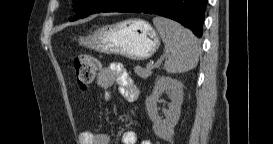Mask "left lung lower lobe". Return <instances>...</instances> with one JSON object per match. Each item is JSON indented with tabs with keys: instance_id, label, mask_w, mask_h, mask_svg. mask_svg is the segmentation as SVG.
I'll list each match as a JSON object with an SVG mask.
<instances>
[{
	"instance_id": "obj_1",
	"label": "left lung lower lobe",
	"mask_w": 273,
	"mask_h": 144,
	"mask_svg": "<svg viewBox=\"0 0 273 144\" xmlns=\"http://www.w3.org/2000/svg\"><path fill=\"white\" fill-rule=\"evenodd\" d=\"M206 6L207 0H103L101 6L94 13L143 12L156 14L181 23L200 38L202 37Z\"/></svg>"
}]
</instances>
